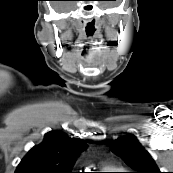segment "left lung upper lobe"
<instances>
[{"label":"left lung upper lobe","mask_w":173,"mask_h":173,"mask_svg":"<svg viewBox=\"0 0 173 173\" xmlns=\"http://www.w3.org/2000/svg\"><path fill=\"white\" fill-rule=\"evenodd\" d=\"M111 150L132 167L136 171L134 173H161L151 155L134 135H126L115 140Z\"/></svg>","instance_id":"left-lung-upper-lobe-1"}]
</instances>
